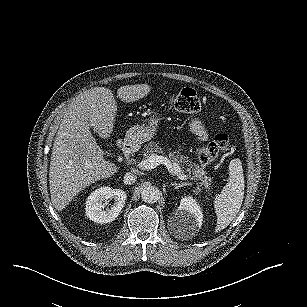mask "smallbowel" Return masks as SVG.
I'll return each mask as SVG.
<instances>
[{
  "label": "small bowel",
  "mask_w": 307,
  "mask_h": 307,
  "mask_svg": "<svg viewBox=\"0 0 307 307\" xmlns=\"http://www.w3.org/2000/svg\"><path fill=\"white\" fill-rule=\"evenodd\" d=\"M189 126L190 130L198 140L203 141L207 138V133L200 120L192 119Z\"/></svg>",
  "instance_id": "c3829d8e"
}]
</instances>
